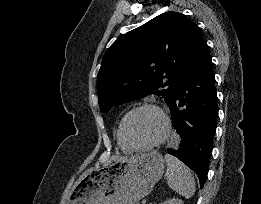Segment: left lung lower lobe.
<instances>
[{
	"mask_svg": "<svg viewBox=\"0 0 261 204\" xmlns=\"http://www.w3.org/2000/svg\"><path fill=\"white\" fill-rule=\"evenodd\" d=\"M211 55L199 31L180 73L171 110L176 138L168 152L195 171L203 187L218 117Z\"/></svg>",
	"mask_w": 261,
	"mask_h": 204,
	"instance_id": "0a47b994",
	"label": "left lung lower lobe"
}]
</instances>
